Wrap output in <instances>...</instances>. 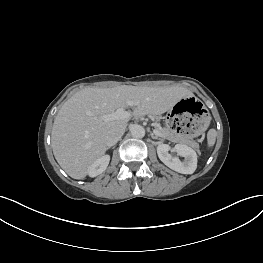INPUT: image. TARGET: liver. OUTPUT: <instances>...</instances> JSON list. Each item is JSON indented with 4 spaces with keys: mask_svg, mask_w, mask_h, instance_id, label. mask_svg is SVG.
Masks as SVG:
<instances>
[{
    "mask_svg": "<svg viewBox=\"0 0 263 263\" xmlns=\"http://www.w3.org/2000/svg\"><path fill=\"white\" fill-rule=\"evenodd\" d=\"M192 95L180 86L84 88L62 105L54 119L51 145L55 159L70 177L83 179L108 149L106 140L111 131L124 129L132 116L163 114ZM129 101L134 102L129 118L104 120L103 116L125 108Z\"/></svg>",
    "mask_w": 263,
    "mask_h": 263,
    "instance_id": "obj_1",
    "label": "liver"
}]
</instances>
